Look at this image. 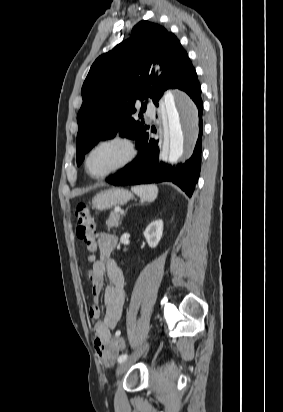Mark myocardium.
<instances>
[{
	"mask_svg": "<svg viewBox=\"0 0 283 412\" xmlns=\"http://www.w3.org/2000/svg\"><path fill=\"white\" fill-rule=\"evenodd\" d=\"M110 143L123 144L127 149L126 157L117 166L108 170L107 172L102 173V174H93L89 169L90 156L100 146L110 144ZM137 154H138V146L133 138L127 135H124V134H120V133L113 134L108 137L100 139L99 141H97L95 144H93L90 147V149L87 151L85 158H84V168L90 177L94 179H104V178L109 177L112 174L117 173L118 171L122 170L126 166H128L136 158Z\"/></svg>",
	"mask_w": 283,
	"mask_h": 412,
	"instance_id": "obj_1",
	"label": "myocardium"
}]
</instances>
